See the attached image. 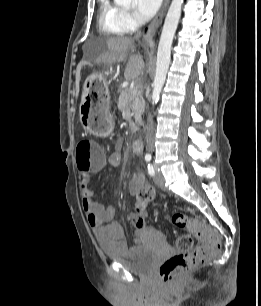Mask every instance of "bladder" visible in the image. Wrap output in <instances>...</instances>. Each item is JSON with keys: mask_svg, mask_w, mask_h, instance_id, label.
<instances>
[{"mask_svg": "<svg viewBox=\"0 0 261 306\" xmlns=\"http://www.w3.org/2000/svg\"><path fill=\"white\" fill-rule=\"evenodd\" d=\"M156 239H162V236L153 229L148 230ZM106 259L110 262H116L128 271L138 274L148 273L158 258V251L155 246L138 242L129 248L123 256L105 253Z\"/></svg>", "mask_w": 261, "mask_h": 306, "instance_id": "bladder-1", "label": "bladder"}]
</instances>
